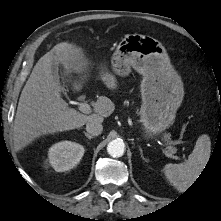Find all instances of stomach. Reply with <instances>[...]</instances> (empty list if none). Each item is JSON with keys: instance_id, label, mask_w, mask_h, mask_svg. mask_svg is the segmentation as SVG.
I'll return each mask as SVG.
<instances>
[{"instance_id": "0dacf381", "label": "stomach", "mask_w": 221, "mask_h": 221, "mask_svg": "<svg viewBox=\"0 0 221 221\" xmlns=\"http://www.w3.org/2000/svg\"><path fill=\"white\" fill-rule=\"evenodd\" d=\"M111 64L119 76H127L131 67L143 76L140 121L145 135L152 137L169 128L182 103L184 88L164 46L150 36L127 35L113 53Z\"/></svg>"}]
</instances>
